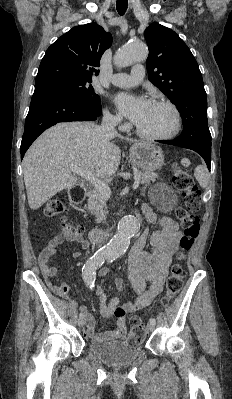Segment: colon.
<instances>
[{
    "instance_id": "colon-1",
    "label": "colon",
    "mask_w": 232,
    "mask_h": 399,
    "mask_svg": "<svg viewBox=\"0 0 232 399\" xmlns=\"http://www.w3.org/2000/svg\"><path fill=\"white\" fill-rule=\"evenodd\" d=\"M177 165L182 168H190L191 164L186 160H177ZM174 179L178 182L181 191L182 199L180 202L181 209H177L176 213L179 214L180 222H183L182 230L185 236L181 238V244L177 247L175 258L176 262L173 263L172 269H169L171 276H166L165 288L161 294L160 302L164 306L172 304L178 289H182V280L185 274L184 261L187 260L189 249L194 244V239H197L199 231V217H196L200 211V204L194 203L195 196H201V191H194V186L191 181V175H187L185 171L178 170L174 174ZM44 215L52 216L53 219H63L66 208L59 199L49 201L44 206ZM59 213V214H56ZM66 232H71V227H66ZM52 290H58V294L62 298H67L71 294V289L65 283H52ZM152 314L156 318H161L165 314V309L161 305H156L152 309ZM130 324L132 325L131 341H144L145 338V325L139 322L137 317H130ZM125 347H135V342H125Z\"/></svg>"
}]
</instances>
